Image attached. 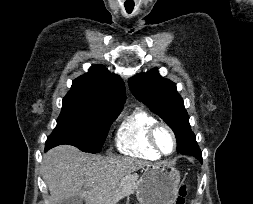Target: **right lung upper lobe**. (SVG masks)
Instances as JSON below:
<instances>
[{
	"label": "right lung upper lobe",
	"instance_id": "1",
	"mask_svg": "<svg viewBox=\"0 0 253 204\" xmlns=\"http://www.w3.org/2000/svg\"><path fill=\"white\" fill-rule=\"evenodd\" d=\"M67 96L100 106L118 115L126 99L122 79L111 74L104 65L91 66L87 74L76 78Z\"/></svg>",
	"mask_w": 253,
	"mask_h": 204
}]
</instances>
